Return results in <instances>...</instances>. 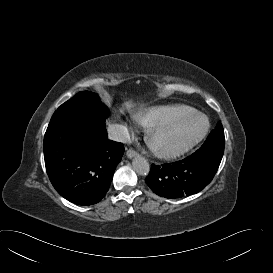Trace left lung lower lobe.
<instances>
[{
  "label": "left lung lower lobe",
  "instance_id": "0a47b994",
  "mask_svg": "<svg viewBox=\"0 0 273 273\" xmlns=\"http://www.w3.org/2000/svg\"><path fill=\"white\" fill-rule=\"evenodd\" d=\"M220 162L194 153L183 160L152 164L145 182L157 195L169 199L196 194L204 189L216 174Z\"/></svg>",
  "mask_w": 273,
  "mask_h": 273
}]
</instances>
